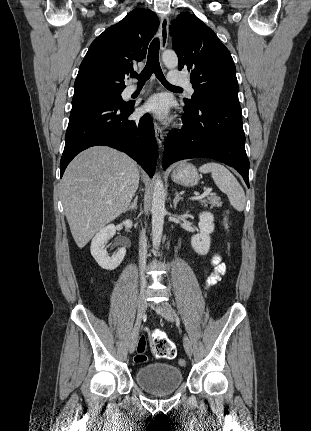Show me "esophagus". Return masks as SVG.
I'll use <instances>...</instances> for the list:
<instances>
[{
    "mask_svg": "<svg viewBox=\"0 0 311 431\" xmlns=\"http://www.w3.org/2000/svg\"><path fill=\"white\" fill-rule=\"evenodd\" d=\"M168 25H169V18L168 15H162L161 17V23H160V48L161 50H165L168 42ZM154 130H155V137L157 140V143L159 145V148L162 147L164 142V134L163 129L159 125V123L154 120Z\"/></svg>",
    "mask_w": 311,
    "mask_h": 431,
    "instance_id": "esophagus-1",
    "label": "esophagus"
}]
</instances>
